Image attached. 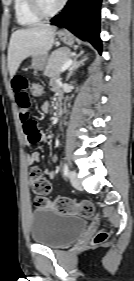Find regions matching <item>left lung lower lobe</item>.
Here are the masks:
<instances>
[{
  "label": "left lung lower lobe",
  "instance_id": "1",
  "mask_svg": "<svg viewBox=\"0 0 134 281\" xmlns=\"http://www.w3.org/2000/svg\"><path fill=\"white\" fill-rule=\"evenodd\" d=\"M100 5L101 0H70L64 11L50 22L85 38L101 53Z\"/></svg>",
  "mask_w": 134,
  "mask_h": 281
}]
</instances>
